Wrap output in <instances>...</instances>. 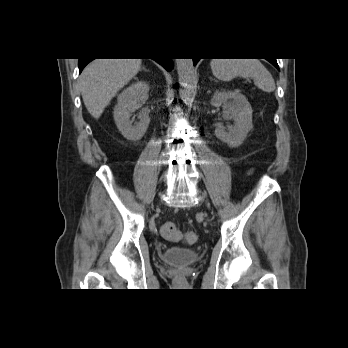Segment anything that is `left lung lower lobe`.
<instances>
[{
  "instance_id": "1",
  "label": "left lung lower lobe",
  "mask_w": 348,
  "mask_h": 348,
  "mask_svg": "<svg viewBox=\"0 0 348 348\" xmlns=\"http://www.w3.org/2000/svg\"><path fill=\"white\" fill-rule=\"evenodd\" d=\"M198 60L199 59H197V58H194L193 59V62H194V65H196V63L198 62ZM270 63H272L278 70H279V67H278V64H277V61H276V59H274V60H268Z\"/></svg>"
}]
</instances>
